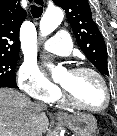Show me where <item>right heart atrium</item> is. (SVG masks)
Masks as SVG:
<instances>
[{"mask_svg":"<svg viewBox=\"0 0 117 136\" xmlns=\"http://www.w3.org/2000/svg\"><path fill=\"white\" fill-rule=\"evenodd\" d=\"M17 80L20 89L31 98L52 103L58 97L59 89L45 77L33 61L25 60L22 63Z\"/></svg>","mask_w":117,"mask_h":136,"instance_id":"right-heart-atrium-1","label":"right heart atrium"}]
</instances>
